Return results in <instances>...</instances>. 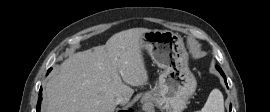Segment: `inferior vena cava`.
<instances>
[{"label": "inferior vena cava", "instance_id": "602c4592", "mask_svg": "<svg viewBox=\"0 0 270 112\" xmlns=\"http://www.w3.org/2000/svg\"><path fill=\"white\" fill-rule=\"evenodd\" d=\"M126 102H127L126 98L123 97L122 95H118V96L115 97V103L116 104H124Z\"/></svg>", "mask_w": 270, "mask_h": 112}]
</instances>
